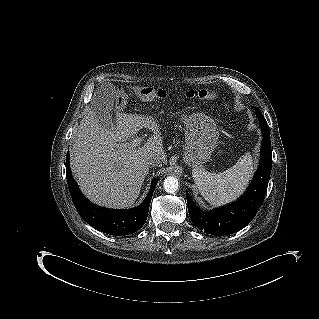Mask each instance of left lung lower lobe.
Listing matches in <instances>:
<instances>
[{
    "instance_id": "left-lung-lower-lobe-1",
    "label": "left lung lower lobe",
    "mask_w": 319,
    "mask_h": 319,
    "mask_svg": "<svg viewBox=\"0 0 319 319\" xmlns=\"http://www.w3.org/2000/svg\"><path fill=\"white\" fill-rule=\"evenodd\" d=\"M263 132L260 164L245 193L234 203L210 212L199 209L186 193L189 216L200 230L212 235H228L244 228L257 214L265 197L272 166L270 131L264 117H258Z\"/></svg>"
}]
</instances>
